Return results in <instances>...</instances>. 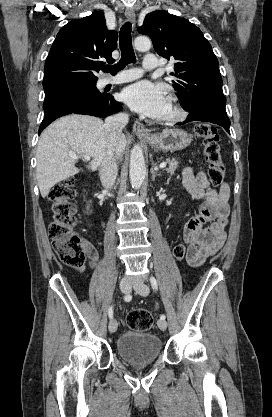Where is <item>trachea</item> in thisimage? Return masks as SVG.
I'll list each match as a JSON object with an SVG mask.
<instances>
[{
  "label": "trachea",
  "instance_id": "3493384b",
  "mask_svg": "<svg viewBox=\"0 0 272 417\" xmlns=\"http://www.w3.org/2000/svg\"><path fill=\"white\" fill-rule=\"evenodd\" d=\"M119 46L121 49L120 61L115 65L103 67L102 70L104 72H109L110 74L115 75L118 71L124 69L127 64L135 62L136 57L132 47L130 22L125 23L121 28Z\"/></svg>",
  "mask_w": 272,
  "mask_h": 417
}]
</instances>
